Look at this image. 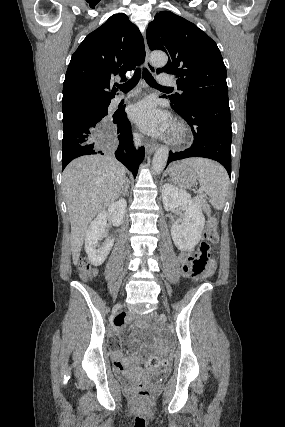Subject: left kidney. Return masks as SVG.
Masks as SVG:
<instances>
[{"mask_svg":"<svg viewBox=\"0 0 285 427\" xmlns=\"http://www.w3.org/2000/svg\"><path fill=\"white\" fill-rule=\"evenodd\" d=\"M162 200L166 211L182 207L185 210L181 224L171 227V236L179 250H192L200 241L205 225V217L190 194L180 190L172 184L162 187Z\"/></svg>","mask_w":285,"mask_h":427,"instance_id":"left-kidney-1","label":"left kidney"}]
</instances>
